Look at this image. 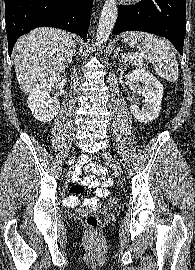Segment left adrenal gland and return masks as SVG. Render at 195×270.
<instances>
[{"instance_id": "1", "label": "left adrenal gland", "mask_w": 195, "mask_h": 270, "mask_svg": "<svg viewBox=\"0 0 195 270\" xmlns=\"http://www.w3.org/2000/svg\"><path fill=\"white\" fill-rule=\"evenodd\" d=\"M114 52H115V53H114V58H115V59H118L120 62H121V61L123 62V60L120 59V57H119L118 51H114Z\"/></svg>"}]
</instances>
